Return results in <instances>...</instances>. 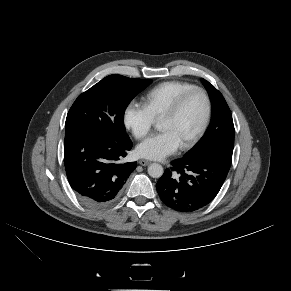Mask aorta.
<instances>
[{"label":"aorta","mask_w":291,"mask_h":291,"mask_svg":"<svg viewBox=\"0 0 291 291\" xmlns=\"http://www.w3.org/2000/svg\"><path fill=\"white\" fill-rule=\"evenodd\" d=\"M163 167L158 163H152L148 167V174L153 178H160L163 175Z\"/></svg>","instance_id":"1"}]
</instances>
